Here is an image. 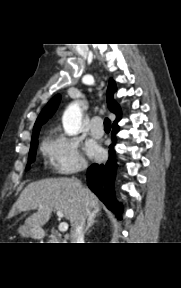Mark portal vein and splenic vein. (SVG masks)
<instances>
[{"mask_svg": "<svg viewBox=\"0 0 181 288\" xmlns=\"http://www.w3.org/2000/svg\"><path fill=\"white\" fill-rule=\"evenodd\" d=\"M57 216H58L59 218H62V217H64V213H63L62 211H60V210H57ZM58 229H59V231H61V232L67 231V230H68V223H66V222H61V223L59 224Z\"/></svg>", "mask_w": 181, "mask_h": 288, "instance_id": "obj_1", "label": "portal vein and splenic vein"}]
</instances>
